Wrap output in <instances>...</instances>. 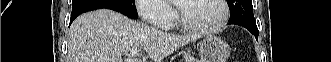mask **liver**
<instances>
[{
  "instance_id": "6515ba94",
  "label": "liver",
  "mask_w": 331,
  "mask_h": 62,
  "mask_svg": "<svg viewBox=\"0 0 331 62\" xmlns=\"http://www.w3.org/2000/svg\"><path fill=\"white\" fill-rule=\"evenodd\" d=\"M198 38L166 33L101 9L82 14L72 23L67 62H123L122 56L132 48H143L153 62H161Z\"/></svg>"
}]
</instances>
